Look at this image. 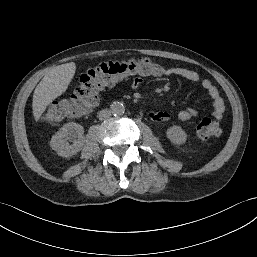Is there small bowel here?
I'll return each mask as SVG.
<instances>
[{"mask_svg": "<svg viewBox=\"0 0 257 257\" xmlns=\"http://www.w3.org/2000/svg\"><path fill=\"white\" fill-rule=\"evenodd\" d=\"M164 76H174L192 83H200L202 88L209 95L213 105V115L216 118H221L224 114L225 105L216 86L208 79H201L198 72L183 68V67H170L164 70ZM141 84L139 79L132 81L133 88L139 87ZM198 115L197 111L192 108H186L178 113V118L181 121H189ZM148 117L155 122H167L170 119L169 113L165 111H150Z\"/></svg>", "mask_w": 257, "mask_h": 257, "instance_id": "small-bowel-1", "label": "small bowel"}]
</instances>
